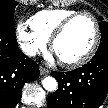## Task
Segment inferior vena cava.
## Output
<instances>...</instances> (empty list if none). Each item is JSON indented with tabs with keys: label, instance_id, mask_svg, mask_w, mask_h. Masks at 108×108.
I'll use <instances>...</instances> for the list:
<instances>
[{
	"label": "inferior vena cava",
	"instance_id": "1",
	"mask_svg": "<svg viewBox=\"0 0 108 108\" xmlns=\"http://www.w3.org/2000/svg\"><path fill=\"white\" fill-rule=\"evenodd\" d=\"M22 51L27 56H34L37 53V49L31 45L22 46Z\"/></svg>",
	"mask_w": 108,
	"mask_h": 108
}]
</instances>
